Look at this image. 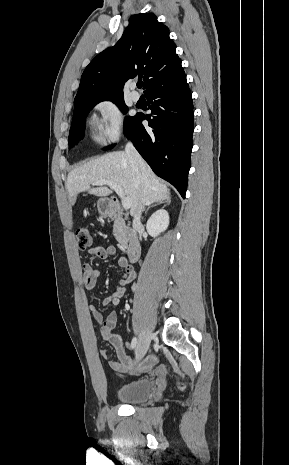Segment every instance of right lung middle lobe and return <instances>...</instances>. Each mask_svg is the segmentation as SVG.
Masks as SVG:
<instances>
[{
    "label": "right lung middle lobe",
    "instance_id": "1",
    "mask_svg": "<svg viewBox=\"0 0 289 465\" xmlns=\"http://www.w3.org/2000/svg\"><path fill=\"white\" fill-rule=\"evenodd\" d=\"M104 100H110L114 102L124 113L127 112L128 108L125 105L123 99H98V100H88L83 101L78 104H74V114H73V121L72 126L70 129V134L68 138L69 146L72 147L73 145L77 144L79 140H81L84 136V120L87 116L88 112L99 102ZM134 117L128 116L124 122V132L126 133L129 129L130 125L132 124ZM111 148V147H110Z\"/></svg>",
    "mask_w": 289,
    "mask_h": 465
}]
</instances>
